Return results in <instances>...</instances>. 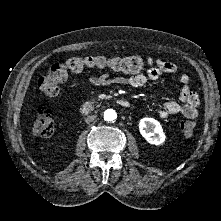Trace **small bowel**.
I'll return each mask as SVG.
<instances>
[{"mask_svg": "<svg viewBox=\"0 0 221 221\" xmlns=\"http://www.w3.org/2000/svg\"><path fill=\"white\" fill-rule=\"evenodd\" d=\"M161 73L179 74V81L182 88L179 94V100L165 102L158 112L161 119H167L171 116L182 115L189 119H194L198 115L200 104L199 96L191 90L189 86L190 77L188 74L180 71L177 64L162 59L157 60V65L149 68L145 73H132L128 76L110 77L107 74L91 76L88 82L92 86H130L141 87L150 81H156Z\"/></svg>", "mask_w": 221, "mask_h": 221, "instance_id": "small-bowel-1", "label": "small bowel"}]
</instances>
